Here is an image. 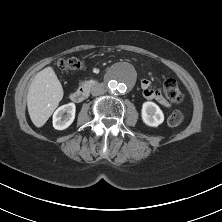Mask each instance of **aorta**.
Returning <instances> with one entry per match:
<instances>
[{"instance_id": "aorta-1", "label": "aorta", "mask_w": 222, "mask_h": 222, "mask_svg": "<svg viewBox=\"0 0 222 222\" xmlns=\"http://www.w3.org/2000/svg\"><path fill=\"white\" fill-rule=\"evenodd\" d=\"M133 84V77L125 68L114 69L107 77L110 92L120 94L126 92Z\"/></svg>"}]
</instances>
